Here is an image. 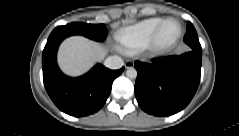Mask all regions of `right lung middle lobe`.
Here are the masks:
<instances>
[{"instance_id": "1", "label": "right lung middle lobe", "mask_w": 239, "mask_h": 136, "mask_svg": "<svg viewBox=\"0 0 239 136\" xmlns=\"http://www.w3.org/2000/svg\"><path fill=\"white\" fill-rule=\"evenodd\" d=\"M54 30L62 32L67 37L71 35H82L96 41H103L107 35L104 24L70 23L65 26H59Z\"/></svg>"}]
</instances>
